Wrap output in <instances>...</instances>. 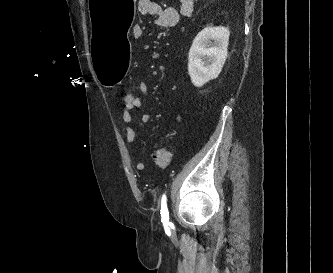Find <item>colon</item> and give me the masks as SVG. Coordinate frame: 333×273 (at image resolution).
<instances>
[{"mask_svg":"<svg viewBox=\"0 0 333 273\" xmlns=\"http://www.w3.org/2000/svg\"><path fill=\"white\" fill-rule=\"evenodd\" d=\"M137 100L138 96L134 95L131 92H126L123 94L122 102L123 106L126 108H137ZM154 163L160 167L164 168L167 167L170 159H171V152L168 147H161L158 148L153 155Z\"/></svg>","mask_w":333,"mask_h":273,"instance_id":"5ec220e1","label":"colon"}]
</instances>
